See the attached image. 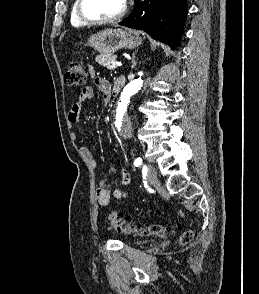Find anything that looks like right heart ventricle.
I'll return each instance as SVG.
<instances>
[{
	"label": "right heart ventricle",
	"instance_id": "1",
	"mask_svg": "<svg viewBox=\"0 0 259 294\" xmlns=\"http://www.w3.org/2000/svg\"><path fill=\"white\" fill-rule=\"evenodd\" d=\"M76 5H77V0H74L72 8H71V13H70V23L73 27L81 28V27H84L85 24L82 23L77 16Z\"/></svg>",
	"mask_w": 259,
	"mask_h": 294
}]
</instances>
